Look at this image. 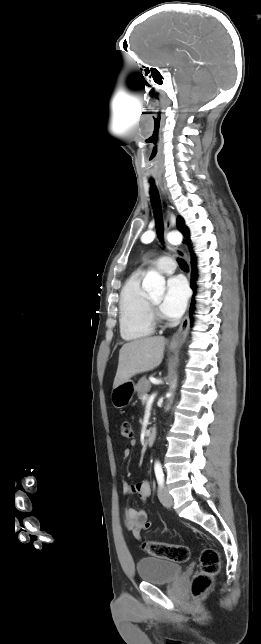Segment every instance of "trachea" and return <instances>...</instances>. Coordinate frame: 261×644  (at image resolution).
<instances>
[{"label": "trachea", "mask_w": 261, "mask_h": 644, "mask_svg": "<svg viewBox=\"0 0 261 644\" xmlns=\"http://www.w3.org/2000/svg\"><path fill=\"white\" fill-rule=\"evenodd\" d=\"M152 186L150 189V195H151V202L154 208V213H155V218H156V229H157V234L159 236V239L163 241V223H162V217H161V211H160V201H159V196L158 192L153 185V182H151ZM179 266L184 269L188 270V265L183 259H178Z\"/></svg>", "instance_id": "obj_1"}]
</instances>
